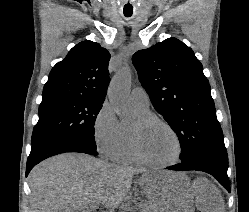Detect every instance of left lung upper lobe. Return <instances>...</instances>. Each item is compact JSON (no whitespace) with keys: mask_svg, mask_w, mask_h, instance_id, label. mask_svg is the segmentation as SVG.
<instances>
[{"mask_svg":"<svg viewBox=\"0 0 249 212\" xmlns=\"http://www.w3.org/2000/svg\"><path fill=\"white\" fill-rule=\"evenodd\" d=\"M132 60L156 111L178 136L182 161L202 147L224 142L210 84L191 48L169 38L137 51Z\"/></svg>","mask_w":249,"mask_h":212,"instance_id":"left-lung-upper-lobe-1","label":"left lung upper lobe"}]
</instances>
